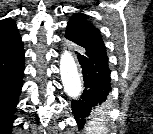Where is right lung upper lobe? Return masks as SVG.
<instances>
[{"instance_id":"cb5924a9","label":"right lung upper lobe","mask_w":153,"mask_h":134,"mask_svg":"<svg viewBox=\"0 0 153 134\" xmlns=\"http://www.w3.org/2000/svg\"><path fill=\"white\" fill-rule=\"evenodd\" d=\"M19 41L21 37L13 20H2L0 22V51L14 46Z\"/></svg>"}]
</instances>
